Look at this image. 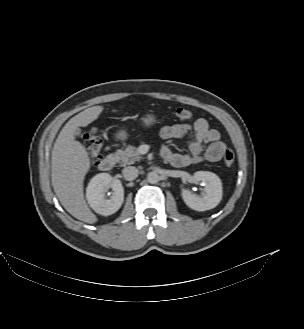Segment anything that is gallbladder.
Listing matches in <instances>:
<instances>
[{"label": "gallbladder", "mask_w": 304, "mask_h": 329, "mask_svg": "<svg viewBox=\"0 0 304 329\" xmlns=\"http://www.w3.org/2000/svg\"><path fill=\"white\" fill-rule=\"evenodd\" d=\"M75 136L76 137H80L81 136V130L80 129H77L76 132H75Z\"/></svg>", "instance_id": "gallbladder-1"}]
</instances>
